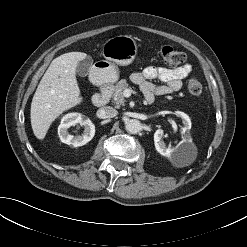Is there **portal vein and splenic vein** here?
Returning a JSON list of instances; mask_svg holds the SVG:
<instances>
[{"label": "portal vein and splenic vein", "mask_w": 247, "mask_h": 247, "mask_svg": "<svg viewBox=\"0 0 247 247\" xmlns=\"http://www.w3.org/2000/svg\"><path fill=\"white\" fill-rule=\"evenodd\" d=\"M123 95H124L125 97H129V96H130V90H129V89H125Z\"/></svg>", "instance_id": "portal-vein-and-splenic-vein-1"}]
</instances>
